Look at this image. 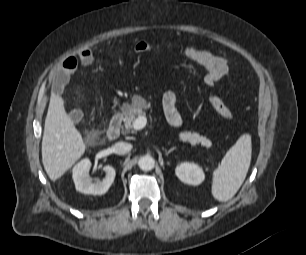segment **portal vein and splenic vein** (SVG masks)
<instances>
[{"instance_id":"obj_1","label":"portal vein and splenic vein","mask_w":306,"mask_h":255,"mask_svg":"<svg viewBox=\"0 0 306 255\" xmlns=\"http://www.w3.org/2000/svg\"><path fill=\"white\" fill-rule=\"evenodd\" d=\"M147 124V118L145 116H138L135 121L133 122V129L134 130H141L143 129ZM203 142H208V140L204 137H202Z\"/></svg>"}]
</instances>
